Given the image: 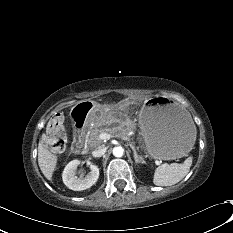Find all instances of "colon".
I'll list each match as a JSON object with an SVG mask.
<instances>
[{
    "instance_id": "5ec220e1",
    "label": "colon",
    "mask_w": 233,
    "mask_h": 233,
    "mask_svg": "<svg viewBox=\"0 0 233 233\" xmlns=\"http://www.w3.org/2000/svg\"><path fill=\"white\" fill-rule=\"evenodd\" d=\"M46 139L49 146L58 156H62L65 153L67 138L63 119L60 116L57 115L50 119L47 126Z\"/></svg>"
}]
</instances>
